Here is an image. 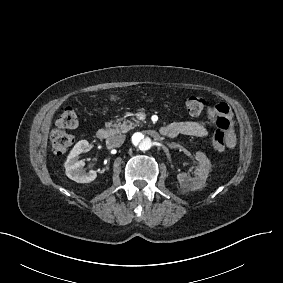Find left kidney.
I'll return each instance as SVG.
<instances>
[{"mask_svg": "<svg viewBox=\"0 0 283 283\" xmlns=\"http://www.w3.org/2000/svg\"><path fill=\"white\" fill-rule=\"evenodd\" d=\"M196 159L200 162V168L194 171L193 177L187 172L177 174V180L184 192L202 188L209 177L211 171L210 160L202 152L196 153Z\"/></svg>", "mask_w": 283, "mask_h": 283, "instance_id": "1", "label": "left kidney"}]
</instances>
